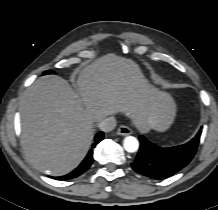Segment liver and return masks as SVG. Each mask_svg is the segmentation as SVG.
Returning a JSON list of instances; mask_svg holds the SVG:
<instances>
[{
    "label": "liver",
    "mask_w": 218,
    "mask_h": 210,
    "mask_svg": "<svg viewBox=\"0 0 218 210\" xmlns=\"http://www.w3.org/2000/svg\"><path fill=\"white\" fill-rule=\"evenodd\" d=\"M78 92L62 78L36 80L20 103L22 145L40 171L61 176L85 157L94 122L124 113L142 132L165 131L174 121L172 97L152 86L134 61L105 55L80 71Z\"/></svg>",
    "instance_id": "1"
}]
</instances>
